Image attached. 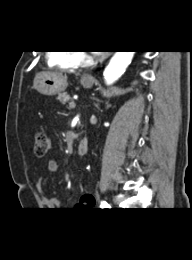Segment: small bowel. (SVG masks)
Segmentation results:
<instances>
[{"label": "small bowel", "mask_w": 192, "mask_h": 260, "mask_svg": "<svg viewBox=\"0 0 192 260\" xmlns=\"http://www.w3.org/2000/svg\"><path fill=\"white\" fill-rule=\"evenodd\" d=\"M59 165L56 160L50 159L47 163V170L51 174H55L58 172ZM44 179L40 177L37 181V189L41 191L43 186ZM41 201L44 207L50 210L59 209L61 207V201L58 198L55 197H46L41 196ZM94 205V198L92 195H86L84 194L79 201V206L82 208H90Z\"/></svg>", "instance_id": "obj_1"}]
</instances>
